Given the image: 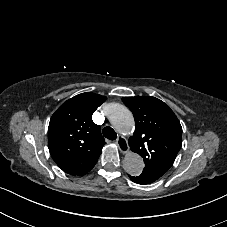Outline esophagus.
Listing matches in <instances>:
<instances>
[{
    "label": "esophagus",
    "instance_id": "1",
    "mask_svg": "<svg viewBox=\"0 0 227 227\" xmlns=\"http://www.w3.org/2000/svg\"><path fill=\"white\" fill-rule=\"evenodd\" d=\"M116 144L119 148V150L122 153H128L129 152V145H128V141L125 137L119 135L116 139Z\"/></svg>",
    "mask_w": 227,
    "mask_h": 227
}]
</instances>
